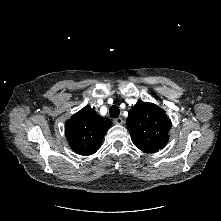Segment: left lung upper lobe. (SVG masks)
<instances>
[{
    "label": "left lung upper lobe",
    "instance_id": "5c2ea615",
    "mask_svg": "<svg viewBox=\"0 0 221 221\" xmlns=\"http://www.w3.org/2000/svg\"><path fill=\"white\" fill-rule=\"evenodd\" d=\"M126 123L133 143L143 152H156L168 142L171 121L153 103L137 102L129 111Z\"/></svg>",
    "mask_w": 221,
    "mask_h": 221
}]
</instances>
